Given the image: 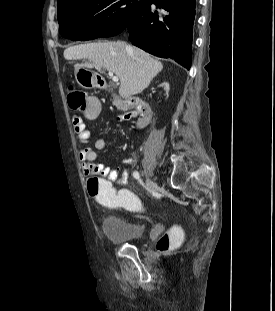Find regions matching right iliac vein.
<instances>
[{"mask_svg":"<svg viewBox=\"0 0 275 311\" xmlns=\"http://www.w3.org/2000/svg\"><path fill=\"white\" fill-rule=\"evenodd\" d=\"M147 186L151 191H156L158 188V185L151 179L146 180Z\"/></svg>","mask_w":275,"mask_h":311,"instance_id":"63e3f726","label":"right iliac vein"}]
</instances>
